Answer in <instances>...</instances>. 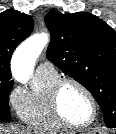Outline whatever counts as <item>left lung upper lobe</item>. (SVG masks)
<instances>
[{"label": "left lung upper lobe", "mask_w": 116, "mask_h": 134, "mask_svg": "<svg viewBox=\"0 0 116 134\" xmlns=\"http://www.w3.org/2000/svg\"><path fill=\"white\" fill-rule=\"evenodd\" d=\"M48 59L94 96L107 127L116 128V32L91 13L50 11Z\"/></svg>", "instance_id": "obj_1"}]
</instances>
